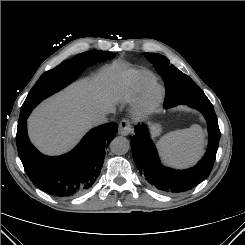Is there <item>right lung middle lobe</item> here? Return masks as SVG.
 Returning <instances> with one entry per match:
<instances>
[{
  "label": "right lung middle lobe",
  "instance_id": "obj_1",
  "mask_svg": "<svg viewBox=\"0 0 245 245\" xmlns=\"http://www.w3.org/2000/svg\"><path fill=\"white\" fill-rule=\"evenodd\" d=\"M93 57L103 61L113 58L114 54L109 51L91 50L80 53L72 59L64 60L55 68L43 73L23 103L19 120L28 117L32 109L43 99L61 90L76 79L82 71V64L85 60Z\"/></svg>",
  "mask_w": 245,
  "mask_h": 245
}]
</instances>
